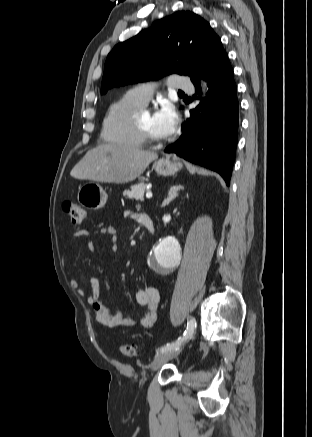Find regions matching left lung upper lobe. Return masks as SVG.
Masks as SVG:
<instances>
[{"label":"left lung upper lobe","instance_id":"obj_1","mask_svg":"<svg viewBox=\"0 0 312 437\" xmlns=\"http://www.w3.org/2000/svg\"><path fill=\"white\" fill-rule=\"evenodd\" d=\"M224 51L208 22L190 11L160 19L108 54L101 94L114 86L154 80L177 73L194 83Z\"/></svg>","mask_w":312,"mask_h":437}]
</instances>
